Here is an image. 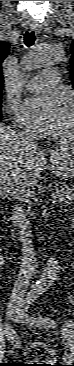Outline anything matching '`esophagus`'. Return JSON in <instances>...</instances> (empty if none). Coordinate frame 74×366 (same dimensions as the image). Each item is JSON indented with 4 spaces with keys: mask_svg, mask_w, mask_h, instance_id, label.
I'll return each instance as SVG.
<instances>
[{
    "mask_svg": "<svg viewBox=\"0 0 74 366\" xmlns=\"http://www.w3.org/2000/svg\"><path fill=\"white\" fill-rule=\"evenodd\" d=\"M28 29H29L30 31H35L36 33H38V32H39L38 24H37V23H35V22L30 23V24L28 25Z\"/></svg>",
    "mask_w": 74,
    "mask_h": 366,
    "instance_id": "1",
    "label": "esophagus"
}]
</instances>
